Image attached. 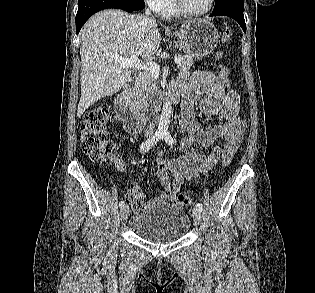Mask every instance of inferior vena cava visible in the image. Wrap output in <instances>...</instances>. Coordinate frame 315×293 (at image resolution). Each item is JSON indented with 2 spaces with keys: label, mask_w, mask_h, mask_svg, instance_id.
<instances>
[{
  "label": "inferior vena cava",
  "mask_w": 315,
  "mask_h": 293,
  "mask_svg": "<svg viewBox=\"0 0 315 293\" xmlns=\"http://www.w3.org/2000/svg\"><path fill=\"white\" fill-rule=\"evenodd\" d=\"M145 14H146V16H149V15H151V12L149 11V9H146L145 10ZM151 21L152 22H155L156 20L154 19V18H152L151 19ZM154 128H155V125H154V123L152 122H150V124L147 126V129H146V131H145V133L146 134H153L154 133Z\"/></svg>",
  "instance_id": "inferior-vena-cava-1"
}]
</instances>
